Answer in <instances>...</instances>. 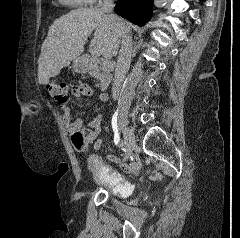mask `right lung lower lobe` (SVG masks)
<instances>
[{
    "mask_svg": "<svg viewBox=\"0 0 240 238\" xmlns=\"http://www.w3.org/2000/svg\"><path fill=\"white\" fill-rule=\"evenodd\" d=\"M153 0H117L114 11L136 25L146 24L152 14Z\"/></svg>",
    "mask_w": 240,
    "mask_h": 238,
    "instance_id": "98d812e1",
    "label": "right lung lower lobe"
}]
</instances>
